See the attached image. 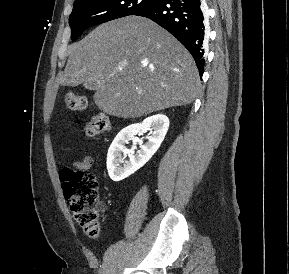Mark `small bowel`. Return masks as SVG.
Masks as SVG:
<instances>
[{"instance_id":"obj_1","label":"small bowel","mask_w":289,"mask_h":274,"mask_svg":"<svg viewBox=\"0 0 289 274\" xmlns=\"http://www.w3.org/2000/svg\"><path fill=\"white\" fill-rule=\"evenodd\" d=\"M94 162V158L92 156H85L82 160L75 161L72 163V166L77 170H88Z\"/></svg>"}]
</instances>
